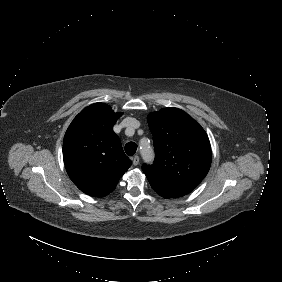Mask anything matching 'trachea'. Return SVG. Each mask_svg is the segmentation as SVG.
I'll return each instance as SVG.
<instances>
[{
    "instance_id": "1",
    "label": "trachea",
    "mask_w": 282,
    "mask_h": 282,
    "mask_svg": "<svg viewBox=\"0 0 282 282\" xmlns=\"http://www.w3.org/2000/svg\"><path fill=\"white\" fill-rule=\"evenodd\" d=\"M137 150V144L129 142L125 145V152L128 156H133Z\"/></svg>"
}]
</instances>
